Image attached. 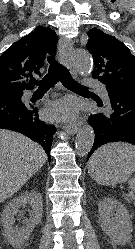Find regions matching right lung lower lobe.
<instances>
[{"instance_id": "obj_1", "label": "right lung lower lobe", "mask_w": 135, "mask_h": 249, "mask_svg": "<svg viewBox=\"0 0 135 249\" xmlns=\"http://www.w3.org/2000/svg\"><path fill=\"white\" fill-rule=\"evenodd\" d=\"M22 95L0 93V128L17 131L35 140L43 146L50 160L52 136L56 128L41 121L38 109L22 101Z\"/></svg>"}]
</instances>
